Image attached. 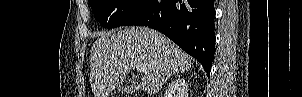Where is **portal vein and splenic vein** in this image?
Returning <instances> with one entry per match:
<instances>
[{
  "instance_id": "obj_1",
  "label": "portal vein and splenic vein",
  "mask_w": 302,
  "mask_h": 97,
  "mask_svg": "<svg viewBox=\"0 0 302 97\" xmlns=\"http://www.w3.org/2000/svg\"><path fill=\"white\" fill-rule=\"evenodd\" d=\"M136 70H137L138 72H140V73H143V72H145V66L139 64V65L136 66Z\"/></svg>"
}]
</instances>
